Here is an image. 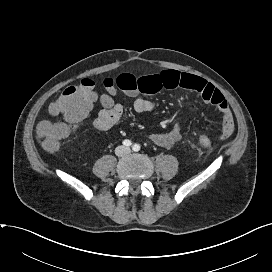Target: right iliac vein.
Returning <instances> with one entry per match:
<instances>
[{"instance_id": "obj_1", "label": "right iliac vein", "mask_w": 272, "mask_h": 272, "mask_svg": "<svg viewBox=\"0 0 272 272\" xmlns=\"http://www.w3.org/2000/svg\"><path fill=\"white\" fill-rule=\"evenodd\" d=\"M118 152L121 154V153L123 152V149L120 148V149L118 150Z\"/></svg>"}]
</instances>
